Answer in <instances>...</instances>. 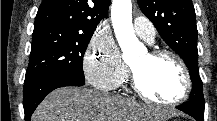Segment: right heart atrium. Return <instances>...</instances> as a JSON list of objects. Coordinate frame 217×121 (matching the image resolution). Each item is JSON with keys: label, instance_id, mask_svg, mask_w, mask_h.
I'll return each mask as SVG.
<instances>
[{"label": "right heart atrium", "instance_id": "obj_1", "mask_svg": "<svg viewBox=\"0 0 217 121\" xmlns=\"http://www.w3.org/2000/svg\"><path fill=\"white\" fill-rule=\"evenodd\" d=\"M83 68L88 82L102 91L116 89L128 77V68L116 44L104 34L95 35L89 43L83 57Z\"/></svg>", "mask_w": 217, "mask_h": 121}]
</instances>
